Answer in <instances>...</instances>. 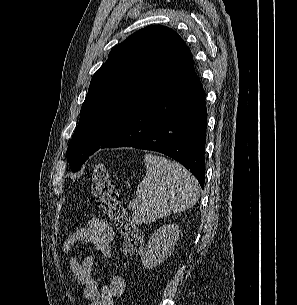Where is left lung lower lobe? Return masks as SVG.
Returning <instances> with one entry per match:
<instances>
[{
  "label": "left lung lower lobe",
  "instance_id": "left-lung-lower-lobe-1",
  "mask_svg": "<svg viewBox=\"0 0 297 305\" xmlns=\"http://www.w3.org/2000/svg\"><path fill=\"white\" fill-rule=\"evenodd\" d=\"M206 122L205 92L193 71L148 89L100 148L163 153L185 166L204 188Z\"/></svg>",
  "mask_w": 297,
  "mask_h": 305
}]
</instances>
